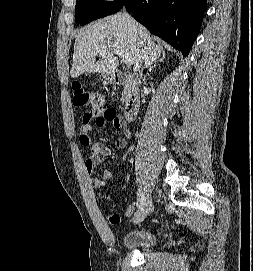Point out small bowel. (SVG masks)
<instances>
[{"label":"small bowel","mask_w":253,"mask_h":271,"mask_svg":"<svg viewBox=\"0 0 253 271\" xmlns=\"http://www.w3.org/2000/svg\"><path fill=\"white\" fill-rule=\"evenodd\" d=\"M95 122L97 127H105L108 120L104 118V116L100 114H93V113H85L81 119V125L79 129V140L80 143L84 146H90L91 151L90 155L84 161V167L86 172L91 175V184L95 188H105L107 182L111 179V172L108 169H103L98 172V174L94 175L95 170L98 165H100L105 157L111 154V149L105 143L101 141L92 142L91 140V132H92V125L91 123ZM112 122L113 126L122 131L125 134V137L117 138L115 144L120 149H125L129 145L130 139V130L128 126L123 123L120 119L118 121H110ZM135 206L134 204L128 205L123 210V216L129 217L134 212ZM108 219L111 223L117 224L120 221V216L116 213H109Z\"/></svg>","instance_id":"1"}]
</instances>
